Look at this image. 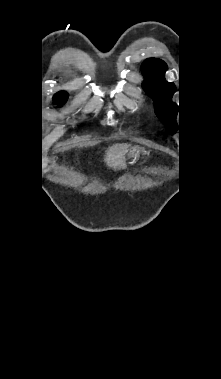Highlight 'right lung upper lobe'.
<instances>
[{"label":"right lung upper lobe","instance_id":"cb5924a9","mask_svg":"<svg viewBox=\"0 0 221 379\" xmlns=\"http://www.w3.org/2000/svg\"><path fill=\"white\" fill-rule=\"evenodd\" d=\"M67 99V93L59 92L54 95V101L56 103H64Z\"/></svg>","mask_w":221,"mask_h":379}]
</instances>
